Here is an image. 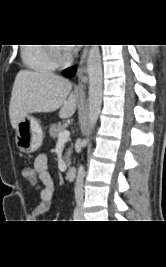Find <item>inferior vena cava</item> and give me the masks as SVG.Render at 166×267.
<instances>
[{"instance_id": "inferior-vena-cava-1", "label": "inferior vena cava", "mask_w": 166, "mask_h": 267, "mask_svg": "<svg viewBox=\"0 0 166 267\" xmlns=\"http://www.w3.org/2000/svg\"><path fill=\"white\" fill-rule=\"evenodd\" d=\"M83 178H84V168L80 166L78 169V175L74 189L75 200L78 207H81L83 203Z\"/></svg>"}]
</instances>
